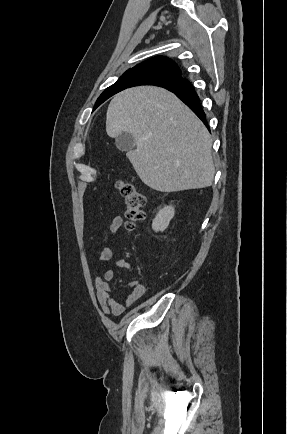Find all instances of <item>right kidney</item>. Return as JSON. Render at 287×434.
Returning <instances> with one entry per match:
<instances>
[{
  "label": "right kidney",
  "instance_id": "obj_1",
  "mask_svg": "<svg viewBox=\"0 0 287 434\" xmlns=\"http://www.w3.org/2000/svg\"><path fill=\"white\" fill-rule=\"evenodd\" d=\"M175 211L172 206H166L159 210L152 223V229L155 232H163L169 225L171 219L174 217Z\"/></svg>",
  "mask_w": 287,
  "mask_h": 434
}]
</instances>
